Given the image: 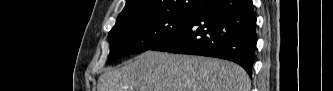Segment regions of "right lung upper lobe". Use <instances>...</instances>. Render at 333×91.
Listing matches in <instances>:
<instances>
[{
    "mask_svg": "<svg viewBox=\"0 0 333 91\" xmlns=\"http://www.w3.org/2000/svg\"><path fill=\"white\" fill-rule=\"evenodd\" d=\"M204 0H127L122 12L118 15L115 25L129 20L149 15L197 14L204 7L200 6Z\"/></svg>",
    "mask_w": 333,
    "mask_h": 91,
    "instance_id": "cb5924a9",
    "label": "right lung upper lobe"
}]
</instances>
